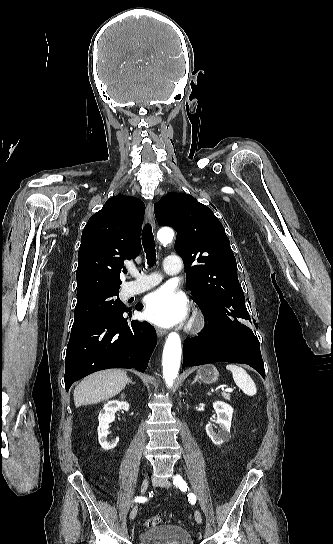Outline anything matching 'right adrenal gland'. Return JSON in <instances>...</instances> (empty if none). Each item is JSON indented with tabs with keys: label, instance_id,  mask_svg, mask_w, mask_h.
<instances>
[{
	"label": "right adrenal gland",
	"instance_id": "right-adrenal-gland-1",
	"mask_svg": "<svg viewBox=\"0 0 333 544\" xmlns=\"http://www.w3.org/2000/svg\"><path fill=\"white\" fill-rule=\"evenodd\" d=\"M128 384H135V382H133V381L131 380V378H129Z\"/></svg>",
	"mask_w": 333,
	"mask_h": 544
}]
</instances>
